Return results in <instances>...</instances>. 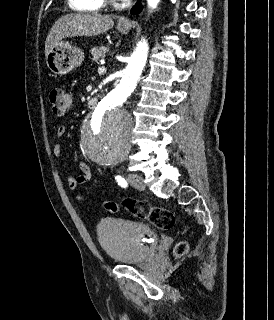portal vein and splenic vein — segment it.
Masks as SVG:
<instances>
[{
  "mask_svg": "<svg viewBox=\"0 0 274 320\" xmlns=\"http://www.w3.org/2000/svg\"><path fill=\"white\" fill-rule=\"evenodd\" d=\"M101 64H104V62H101ZM98 70H105V66H101V68H98Z\"/></svg>",
  "mask_w": 274,
  "mask_h": 320,
  "instance_id": "obj_1",
  "label": "portal vein and splenic vein"
}]
</instances>
